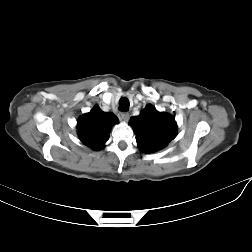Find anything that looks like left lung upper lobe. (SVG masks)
<instances>
[{
    "label": "left lung upper lobe",
    "mask_w": 252,
    "mask_h": 252,
    "mask_svg": "<svg viewBox=\"0 0 252 252\" xmlns=\"http://www.w3.org/2000/svg\"><path fill=\"white\" fill-rule=\"evenodd\" d=\"M129 124L136 134V141L141 151L153 153L164 148L177 135L175 118L157 111L148 104L138 116H132Z\"/></svg>",
    "instance_id": "obj_1"
}]
</instances>
